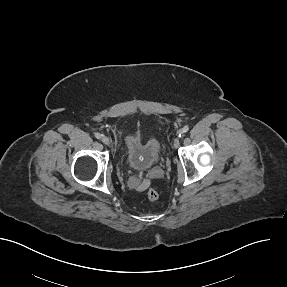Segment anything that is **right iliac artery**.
Wrapping results in <instances>:
<instances>
[{
    "label": "right iliac artery",
    "mask_w": 287,
    "mask_h": 287,
    "mask_svg": "<svg viewBox=\"0 0 287 287\" xmlns=\"http://www.w3.org/2000/svg\"><path fill=\"white\" fill-rule=\"evenodd\" d=\"M95 137H96L97 139H100V138L102 137V135H101L100 133H95Z\"/></svg>",
    "instance_id": "1"
}]
</instances>
